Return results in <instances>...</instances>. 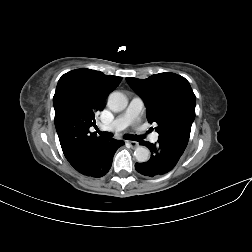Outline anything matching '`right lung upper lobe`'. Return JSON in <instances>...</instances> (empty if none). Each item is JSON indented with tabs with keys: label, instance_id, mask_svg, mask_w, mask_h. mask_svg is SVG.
I'll return each instance as SVG.
<instances>
[{
	"label": "right lung upper lobe",
	"instance_id": "cb5924a9",
	"mask_svg": "<svg viewBox=\"0 0 252 252\" xmlns=\"http://www.w3.org/2000/svg\"><path fill=\"white\" fill-rule=\"evenodd\" d=\"M121 79L86 68L70 71L59 79L53 97L54 121L68 161L85 147L104 139L90 133L89 128L96 126L95 114L104 108L107 96Z\"/></svg>",
	"mask_w": 252,
	"mask_h": 252
}]
</instances>
